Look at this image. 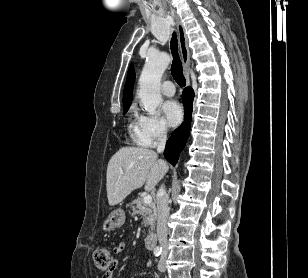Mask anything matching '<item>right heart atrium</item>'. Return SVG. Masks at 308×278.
Here are the masks:
<instances>
[{"mask_svg": "<svg viewBox=\"0 0 308 278\" xmlns=\"http://www.w3.org/2000/svg\"><path fill=\"white\" fill-rule=\"evenodd\" d=\"M168 128L163 120L156 116L142 115L139 117L136 141L144 147H153L164 141Z\"/></svg>", "mask_w": 308, "mask_h": 278, "instance_id": "1", "label": "right heart atrium"}]
</instances>
